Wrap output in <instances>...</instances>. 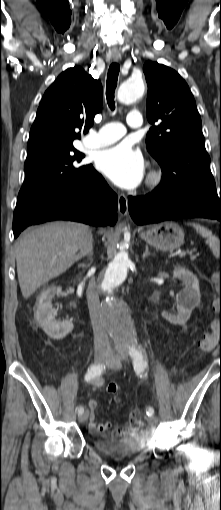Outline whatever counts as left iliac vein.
Returning a JSON list of instances; mask_svg holds the SVG:
<instances>
[{"label": "left iliac vein", "instance_id": "left-iliac-vein-1", "mask_svg": "<svg viewBox=\"0 0 221 510\" xmlns=\"http://www.w3.org/2000/svg\"><path fill=\"white\" fill-rule=\"evenodd\" d=\"M124 357H126L127 355L124 354L123 355ZM108 366L112 369H120L121 366H122V363H121V359L117 356H114V355H111L109 358H108ZM147 422L150 426H155L158 422V419L156 416L152 415V416H149L147 418Z\"/></svg>", "mask_w": 221, "mask_h": 510}]
</instances>
